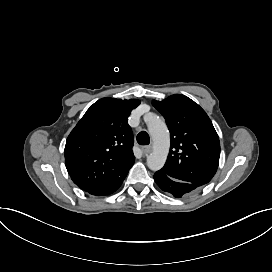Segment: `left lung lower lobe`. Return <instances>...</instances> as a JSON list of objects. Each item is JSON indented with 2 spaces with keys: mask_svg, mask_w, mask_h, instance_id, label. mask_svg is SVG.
I'll return each mask as SVG.
<instances>
[{
  "mask_svg": "<svg viewBox=\"0 0 272 272\" xmlns=\"http://www.w3.org/2000/svg\"><path fill=\"white\" fill-rule=\"evenodd\" d=\"M154 180L164 192H168L177 198H181L183 195H187L199 188L194 184L171 178L160 170L154 174Z\"/></svg>",
  "mask_w": 272,
  "mask_h": 272,
  "instance_id": "0a47b994",
  "label": "left lung lower lobe"
}]
</instances>
